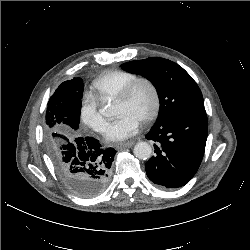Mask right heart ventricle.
<instances>
[{"instance_id":"obj_1","label":"right heart ventricle","mask_w":250,"mask_h":250,"mask_svg":"<svg viewBox=\"0 0 250 250\" xmlns=\"http://www.w3.org/2000/svg\"><path fill=\"white\" fill-rule=\"evenodd\" d=\"M137 75L124 70H112L94 80L90 95L97 101L115 99L119 92Z\"/></svg>"}]
</instances>
